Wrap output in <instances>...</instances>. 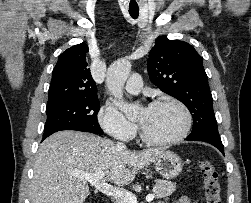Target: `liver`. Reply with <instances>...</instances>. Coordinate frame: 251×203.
<instances>
[{"mask_svg": "<svg viewBox=\"0 0 251 203\" xmlns=\"http://www.w3.org/2000/svg\"><path fill=\"white\" fill-rule=\"evenodd\" d=\"M163 151L151 148L133 152L93 134L57 132L41 143L36 154L31 203H83L89 187L76 173L104 171L107 180L124 186Z\"/></svg>", "mask_w": 251, "mask_h": 203, "instance_id": "6515ba94", "label": "liver"}]
</instances>
